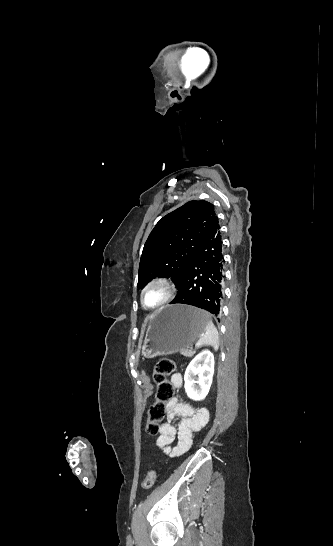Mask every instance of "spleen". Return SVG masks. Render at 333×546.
<instances>
[{"mask_svg": "<svg viewBox=\"0 0 333 546\" xmlns=\"http://www.w3.org/2000/svg\"><path fill=\"white\" fill-rule=\"evenodd\" d=\"M202 346H211L215 351H217L219 348V333L214 326L210 316L205 333L198 339L196 343V348H200Z\"/></svg>", "mask_w": 333, "mask_h": 546, "instance_id": "spleen-1", "label": "spleen"}]
</instances>
